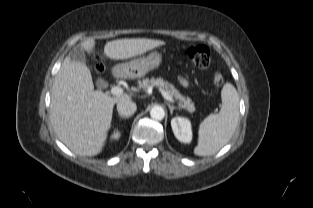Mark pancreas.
<instances>
[{
  "instance_id": "cf45deb5",
  "label": "pancreas",
  "mask_w": 313,
  "mask_h": 208,
  "mask_svg": "<svg viewBox=\"0 0 313 208\" xmlns=\"http://www.w3.org/2000/svg\"><path fill=\"white\" fill-rule=\"evenodd\" d=\"M150 85L159 86L162 90L167 92L170 96L174 97L179 101V104L182 108L186 109L189 112L195 111V106L192 100L189 97L183 96L178 92L177 89L174 88L173 85L165 82L162 78H151V79H143L142 81H138V87L142 89H147Z\"/></svg>"
}]
</instances>
